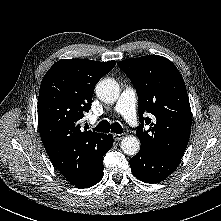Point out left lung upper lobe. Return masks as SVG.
Instances as JSON below:
<instances>
[{"instance_id":"5c2ea615","label":"left lung upper lobe","mask_w":221,"mask_h":221,"mask_svg":"<svg viewBox=\"0 0 221 221\" xmlns=\"http://www.w3.org/2000/svg\"><path fill=\"white\" fill-rule=\"evenodd\" d=\"M131 79L138 95L139 120L136 134L140 150L181 160L191 132V108L183 78L167 58L148 55L117 64ZM154 118H144V114ZM144 123L149 125L144 130Z\"/></svg>"}]
</instances>
